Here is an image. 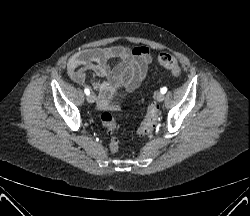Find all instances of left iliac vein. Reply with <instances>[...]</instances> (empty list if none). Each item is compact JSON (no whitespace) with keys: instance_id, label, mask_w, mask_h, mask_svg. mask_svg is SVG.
I'll list each match as a JSON object with an SVG mask.
<instances>
[{"instance_id":"obj_1","label":"left iliac vein","mask_w":250,"mask_h":216,"mask_svg":"<svg viewBox=\"0 0 250 216\" xmlns=\"http://www.w3.org/2000/svg\"><path fill=\"white\" fill-rule=\"evenodd\" d=\"M156 99H157L158 102H162L164 100V94L161 93V92H158L156 94Z\"/></svg>"}]
</instances>
